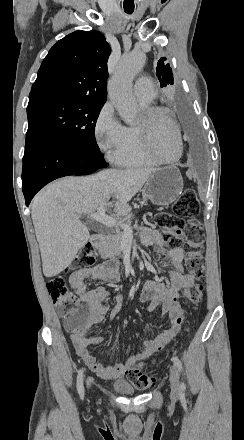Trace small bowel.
I'll list each match as a JSON object with an SVG mask.
<instances>
[{"label": "small bowel", "mask_w": 244, "mask_h": 440, "mask_svg": "<svg viewBox=\"0 0 244 440\" xmlns=\"http://www.w3.org/2000/svg\"><path fill=\"white\" fill-rule=\"evenodd\" d=\"M142 242L146 246L162 250L164 261L171 265L172 270L169 272L168 284L152 279L145 281L139 301L148 302L147 311L150 313L162 306L163 313L169 315L172 322L156 338L145 342L140 350L124 363L103 364L97 362L92 355L89 348L99 346L102 343V338L90 336L88 329L104 320L108 308L103 304V301L110 293L98 286L88 289L84 283V280L90 277L101 279L107 283H115L119 280V266L117 264H100L91 268L79 269L73 272L69 278L70 285L79 300H88V307L91 310L85 327H82L81 335H70L71 341L85 365L104 380L124 378L136 364L162 351L173 341L183 326L184 311L179 303L180 291L192 286L195 282V278L186 271L184 266L185 251L183 248H165L162 235L153 228L142 230ZM116 300L118 303L115 310L119 308L120 297L116 296Z\"/></svg>", "instance_id": "1"}]
</instances>
